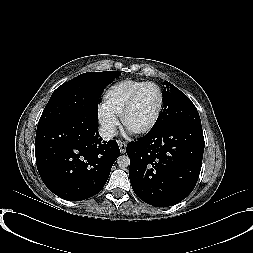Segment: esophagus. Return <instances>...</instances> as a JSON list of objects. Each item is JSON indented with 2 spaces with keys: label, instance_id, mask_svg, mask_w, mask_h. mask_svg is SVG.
<instances>
[{
  "label": "esophagus",
  "instance_id": "esophagus-1",
  "mask_svg": "<svg viewBox=\"0 0 253 253\" xmlns=\"http://www.w3.org/2000/svg\"><path fill=\"white\" fill-rule=\"evenodd\" d=\"M118 145H119L120 152L122 154H124L126 152L127 144L125 142H123V141H119Z\"/></svg>",
  "mask_w": 253,
  "mask_h": 253
}]
</instances>
